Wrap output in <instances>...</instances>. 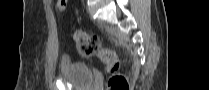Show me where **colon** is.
<instances>
[{
	"label": "colon",
	"instance_id": "obj_1",
	"mask_svg": "<svg viewBox=\"0 0 209 90\" xmlns=\"http://www.w3.org/2000/svg\"><path fill=\"white\" fill-rule=\"evenodd\" d=\"M67 0H59L58 7L61 12L66 9ZM74 42L78 53L86 58H99L106 66L108 72L112 73L108 85L110 90H129V84L126 78L118 73L120 61L117 54L101 46L97 35L89 32H76Z\"/></svg>",
	"mask_w": 209,
	"mask_h": 90
}]
</instances>
